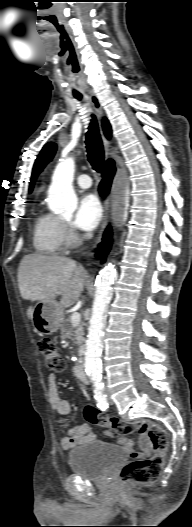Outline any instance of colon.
Returning a JSON list of instances; mask_svg holds the SVG:
<instances>
[{
    "label": "colon",
    "instance_id": "1",
    "mask_svg": "<svg viewBox=\"0 0 192 527\" xmlns=\"http://www.w3.org/2000/svg\"><path fill=\"white\" fill-rule=\"evenodd\" d=\"M37 345L49 370L62 372L65 369L64 359L51 339L41 338ZM84 415L89 423L109 428L120 435L128 434L133 430L145 431L155 452L154 456L149 459L136 457L131 460L122 468L120 478L126 484L153 483L159 478L168 449L167 433L161 425L146 420L126 423L101 412L92 405L86 407Z\"/></svg>",
    "mask_w": 192,
    "mask_h": 527
}]
</instances>
